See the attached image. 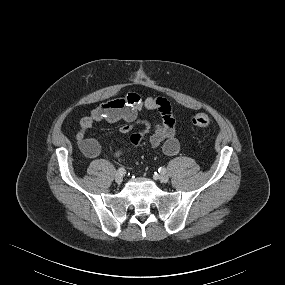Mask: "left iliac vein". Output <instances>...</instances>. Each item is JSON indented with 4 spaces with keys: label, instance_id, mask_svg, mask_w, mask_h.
Instances as JSON below:
<instances>
[{
    "label": "left iliac vein",
    "instance_id": "1",
    "mask_svg": "<svg viewBox=\"0 0 285 285\" xmlns=\"http://www.w3.org/2000/svg\"><path fill=\"white\" fill-rule=\"evenodd\" d=\"M157 177L162 183H167L169 180V177L164 173L159 174Z\"/></svg>",
    "mask_w": 285,
    "mask_h": 285
}]
</instances>
